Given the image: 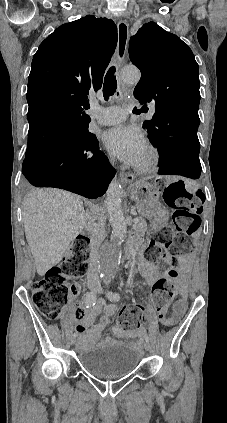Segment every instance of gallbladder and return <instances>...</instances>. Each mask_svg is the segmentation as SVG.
I'll list each match as a JSON object with an SVG mask.
<instances>
[{
    "label": "gallbladder",
    "mask_w": 227,
    "mask_h": 423,
    "mask_svg": "<svg viewBox=\"0 0 227 423\" xmlns=\"http://www.w3.org/2000/svg\"><path fill=\"white\" fill-rule=\"evenodd\" d=\"M27 188H30L29 184H27Z\"/></svg>",
    "instance_id": "1"
}]
</instances>
